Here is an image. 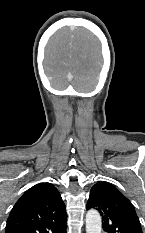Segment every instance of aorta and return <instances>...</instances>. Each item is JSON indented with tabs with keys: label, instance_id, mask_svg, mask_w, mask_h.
Returning a JSON list of instances; mask_svg holds the SVG:
<instances>
[{
	"label": "aorta",
	"instance_id": "1",
	"mask_svg": "<svg viewBox=\"0 0 145 233\" xmlns=\"http://www.w3.org/2000/svg\"><path fill=\"white\" fill-rule=\"evenodd\" d=\"M101 216L96 210H89L86 214V233H101Z\"/></svg>",
	"mask_w": 145,
	"mask_h": 233
}]
</instances>
